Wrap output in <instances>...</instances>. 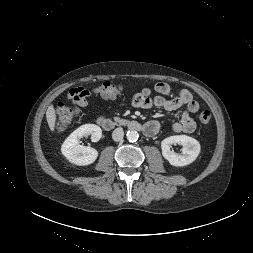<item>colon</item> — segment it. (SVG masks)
Returning a JSON list of instances; mask_svg holds the SVG:
<instances>
[{
	"label": "colon",
	"mask_w": 253,
	"mask_h": 253,
	"mask_svg": "<svg viewBox=\"0 0 253 253\" xmlns=\"http://www.w3.org/2000/svg\"><path fill=\"white\" fill-rule=\"evenodd\" d=\"M95 93L99 94L103 98H115L122 93V87L120 85L113 84L111 82H103L95 88ZM77 111L74 108L67 107L62 103L59 104L58 109L55 112V126L57 130L66 129L73 121ZM211 114L208 110L202 111L198 115V121L200 124L206 126L210 123Z\"/></svg>",
	"instance_id": "1"
}]
</instances>
